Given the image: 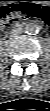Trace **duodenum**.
Returning <instances> with one entry per match:
<instances>
[{"instance_id":"obj_1","label":"duodenum","mask_w":50,"mask_h":111,"mask_svg":"<svg viewBox=\"0 0 50 111\" xmlns=\"http://www.w3.org/2000/svg\"><path fill=\"white\" fill-rule=\"evenodd\" d=\"M16 27H18V28L23 27V24H22V23H18V24L16 25Z\"/></svg>"}]
</instances>
